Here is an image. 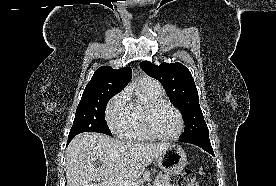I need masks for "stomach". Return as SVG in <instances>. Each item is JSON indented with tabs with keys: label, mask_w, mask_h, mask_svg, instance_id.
Returning <instances> with one entry per match:
<instances>
[{
	"label": "stomach",
	"mask_w": 276,
	"mask_h": 186,
	"mask_svg": "<svg viewBox=\"0 0 276 186\" xmlns=\"http://www.w3.org/2000/svg\"><path fill=\"white\" fill-rule=\"evenodd\" d=\"M157 163L160 169L169 174L181 172L187 164V157L184 150L175 144H169L157 156Z\"/></svg>",
	"instance_id": "stomach-1"
}]
</instances>
